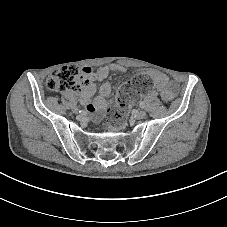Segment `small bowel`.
Masks as SVG:
<instances>
[{
	"instance_id": "1",
	"label": "small bowel",
	"mask_w": 227,
	"mask_h": 227,
	"mask_svg": "<svg viewBox=\"0 0 227 227\" xmlns=\"http://www.w3.org/2000/svg\"><path fill=\"white\" fill-rule=\"evenodd\" d=\"M110 71L123 73L126 71V68L120 64L112 63L102 66L97 70L89 66L83 67L81 70L82 88L79 91L80 100L84 104L85 109L96 118H99L107 108L109 104L107 97L110 95L112 88L109 83L103 82L97 90L93 82L103 81ZM147 75L153 81V89L149 94L150 97H153L158 92L165 101H171L177 96L179 86L176 82L157 71H150ZM96 91H98V96L93 98Z\"/></svg>"
}]
</instances>
